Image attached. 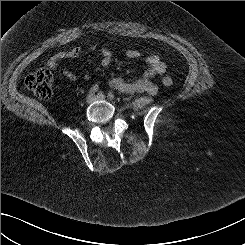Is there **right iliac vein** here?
<instances>
[{"instance_id": "obj_1", "label": "right iliac vein", "mask_w": 245, "mask_h": 245, "mask_svg": "<svg viewBox=\"0 0 245 245\" xmlns=\"http://www.w3.org/2000/svg\"><path fill=\"white\" fill-rule=\"evenodd\" d=\"M95 100V96L93 94H89L86 98V103L91 104Z\"/></svg>"}]
</instances>
